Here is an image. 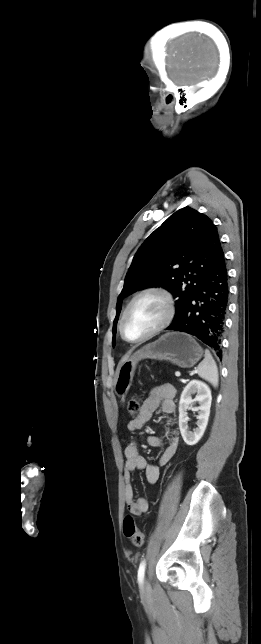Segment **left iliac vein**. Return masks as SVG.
Here are the masks:
<instances>
[{"label": "left iliac vein", "mask_w": 261, "mask_h": 644, "mask_svg": "<svg viewBox=\"0 0 261 644\" xmlns=\"http://www.w3.org/2000/svg\"><path fill=\"white\" fill-rule=\"evenodd\" d=\"M149 591H150V584H149V582L147 580H145L143 585H142V592L147 593Z\"/></svg>", "instance_id": "1"}]
</instances>
